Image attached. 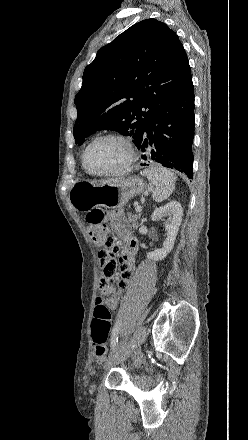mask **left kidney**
Returning a JSON list of instances; mask_svg holds the SVG:
<instances>
[{
    "mask_svg": "<svg viewBox=\"0 0 248 440\" xmlns=\"http://www.w3.org/2000/svg\"><path fill=\"white\" fill-rule=\"evenodd\" d=\"M183 209L179 202L170 201L163 207L155 209L152 214L153 221H159L163 217H169V222L165 223L167 238L161 249H157L147 254L148 259L155 261L164 259L174 247V242L182 222Z\"/></svg>",
    "mask_w": 248,
    "mask_h": 440,
    "instance_id": "1",
    "label": "left kidney"
}]
</instances>
